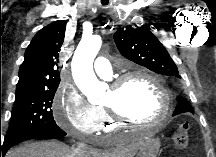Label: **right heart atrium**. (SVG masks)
Wrapping results in <instances>:
<instances>
[{
	"instance_id": "right-heart-atrium-1",
	"label": "right heart atrium",
	"mask_w": 216,
	"mask_h": 157,
	"mask_svg": "<svg viewBox=\"0 0 216 157\" xmlns=\"http://www.w3.org/2000/svg\"><path fill=\"white\" fill-rule=\"evenodd\" d=\"M53 116L61 128L77 136L95 134L102 121L100 107L89 103L72 86L58 89L53 101Z\"/></svg>"
}]
</instances>
